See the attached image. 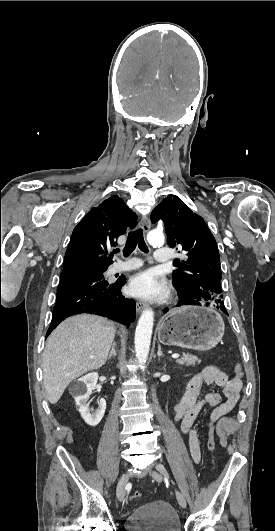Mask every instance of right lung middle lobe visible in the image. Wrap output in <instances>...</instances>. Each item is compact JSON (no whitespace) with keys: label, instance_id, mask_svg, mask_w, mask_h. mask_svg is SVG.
Masks as SVG:
<instances>
[{"label":"right lung middle lobe","instance_id":"1","mask_svg":"<svg viewBox=\"0 0 275 531\" xmlns=\"http://www.w3.org/2000/svg\"><path fill=\"white\" fill-rule=\"evenodd\" d=\"M108 267L109 266L82 265V266L75 267L73 269H89V270L95 271L103 275V273L107 270ZM73 269H70V270H73Z\"/></svg>","mask_w":275,"mask_h":531}]
</instances>
